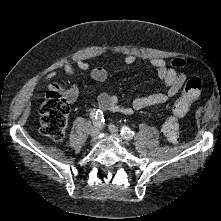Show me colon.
Returning a JSON list of instances; mask_svg holds the SVG:
<instances>
[{
  "label": "colon",
  "instance_id": "5ec220e1",
  "mask_svg": "<svg viewBox=\"0 0 221 221\" xmlns=\"http://www.w3.org/2000/svg\"><path fill=\"white\" fill-rule=\"evenodd\" d=\"M171 65L184 67L186 62L183 59H175ZM202 89L203 82L199 77H192L185 84L182 96L174 103L172 113L162 125V134L169 143L176 144L179 141V121ZM65 96V87L62 84H55L47 92L40 108V132L51 140H60L65 134L70 111Z\"/></svg>",
  "mask_w": 221,
  "mask_h": 221
}]
</instances>
